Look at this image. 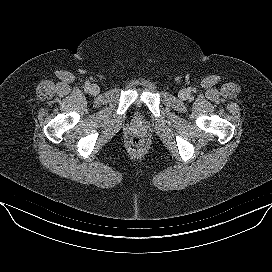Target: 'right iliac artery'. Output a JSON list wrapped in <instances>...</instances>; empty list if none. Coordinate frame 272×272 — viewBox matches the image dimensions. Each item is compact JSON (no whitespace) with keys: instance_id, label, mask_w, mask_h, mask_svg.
Instances as JSON below:
<instances>
[{"instance_id":"obj_1","label":"right iliac artery","mask_w":272,"mask_h":272,"mask_svg":"<svg viewBox=\"0 0 272 272\" xmlns=\"http://www.w3.org/2000/svg\"><path fill=\"white\" fill-rule=\"evenodd\" d=\"M89 85H90V83H88V82L85 83L86 88H89Z\"/></svg>"}]
</instances>
